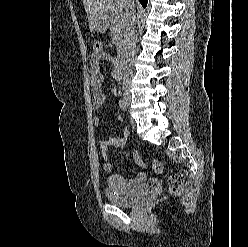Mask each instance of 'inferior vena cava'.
I'll list each match as a JSON object with an SVG mask.
<instances>
[{"mask_svg": "<svg viewBox=\"0 0 248 247\" xmlns=\"http://www.w3.org/2000/svg\"><path fill=\"white\" fill-rule=\"evenodd\" d=\"M124 19L127 27V52L126 61L128 62V71H131V61L135 57L136 51V37H135V25H136V11L134 0H126Z\"/></svg>", "mask_w": 248, "mask_h": 247, "instance_id": "inferior-vena-cava-1", "label": "inferior vena cava"}]
</instances>
